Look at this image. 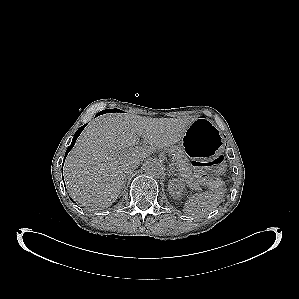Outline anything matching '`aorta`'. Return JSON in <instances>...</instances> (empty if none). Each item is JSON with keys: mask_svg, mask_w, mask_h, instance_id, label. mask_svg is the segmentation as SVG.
I'll return each mask as SVG.
<instances>
[{"mask_svg": "<svg viewBox=\"0 0 299 299\" xmlns=\"http://www.w3.org/2000/svg\"><path fill=\"white\" fill-rule=\"evenodd\" d=\"M144 170L150 176L159 177L164 174L165 167L161 161L153 159L145 164Z\"/></svg>", "mask_w": 299, "mask_h": 299, "instance_id": "obj_1", "label": "aorta"}]
</instances>
